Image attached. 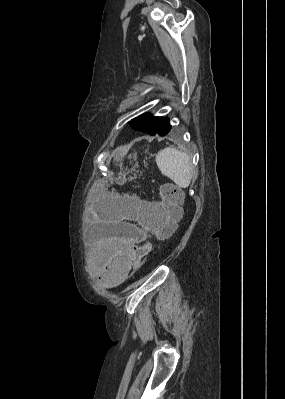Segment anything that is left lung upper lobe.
Here are the masks:
<instances>
[{
	"instance_id": "obj_1",
	"label": "left lung upper lobe",
	"mask_w": 285,
	"mask_h": 399,
	"mask_svg": "<svg viewBox=\"0 0 285 399\" xmlns=\"http://www.w3.org/2000/svg\"><path fill=\"white\" fill-rule=\"evenodd\" d=\"M129 124L135 130L160 136L168 134L172 128L169 118L152 116L150 113H145L132 119Z\"/></svg>"
}]
</instances>
